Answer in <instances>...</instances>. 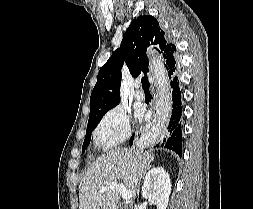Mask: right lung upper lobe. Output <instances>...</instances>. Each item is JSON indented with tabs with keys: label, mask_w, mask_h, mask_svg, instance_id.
<instances>
[{
	"label": "right lung upper lobe",
	"mask_w": 253,
	"mask_h": 209,
	"mask_svg": "<svg viewBox=\"0 0 253 209\" xmlns=\"http://www.w3.org/2000/svg\"><path fill=\"white\" fill-rule=\"evenodd\" d=\"M150 45L162 54L169 73L176 68V47L160 28L156 18L139 16L126 30L120 48L115 50L100 69L97 83L90 97L89 118L106 113L120 102L121 68L125 62L130 73L137 77L149 71L146 49Z\"/></svg>",
	"instance_id": "right-lung-upper-lobe-1"
}]
</instances>
